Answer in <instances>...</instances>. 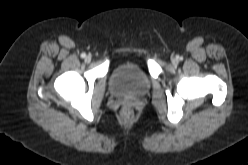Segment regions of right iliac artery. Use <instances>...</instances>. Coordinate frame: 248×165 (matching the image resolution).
I'll return each instance as SVG.
<instances>
[{
    "mask_svg": "<svg viewBox=\"0 0 248 165\" xmlns=\"http://www.w3.org/2000/svg\"><path fill=\"white\" fill-rule=\"evenodd\" d=\"M81 57H82V58H85V57H86V54H85V53H82V54H81Z\"/></svg>",
    "mask_w": 248,
    "mask_h": 165,
    "instance_id": "82829eb1",
    "label": "right iliac artery"
}]
</instances>
